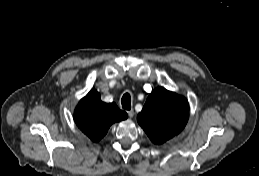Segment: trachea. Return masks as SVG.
I'll list each match as a JSON object with an SVG mask.
<instances>
[{
  "mask_svg": "<svg viewBox=\"0 0 259 176\" xmlns=\"http://www.w3.org/2000/svg\"><path fill=\"white\" fill-rule=\"evenodd\" d=\"M122 108L125 110L131 109V96L129 93H125L121 99Z\"/></svg>",
  "mask_w": 259,
  "mask_h": 176,
  "instance_id": "3493384b",
  "label": "trachea"
}]
</instances>
